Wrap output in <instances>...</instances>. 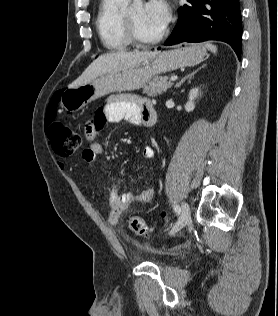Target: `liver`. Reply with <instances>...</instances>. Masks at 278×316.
<instances>
[{
  "mask_svg": "<svg viewBox=\"0 0 278 316\" xmlns=\"http://www.w3.org/2000/svg\"><path fill=\"white\" fill-rule=\"evenodd\" d=\"M157 54H159L157 51L114 52L103 54L94 60L82 73V75L68 87L73 88L84 85L103 75L112 73L127 66L136 65L156 56Z\"/></svg>",
  "mask_w": 278,
  "mask_h": 316,
  "instance_id": "1",
  "label": "liver"
}]
</instances>
